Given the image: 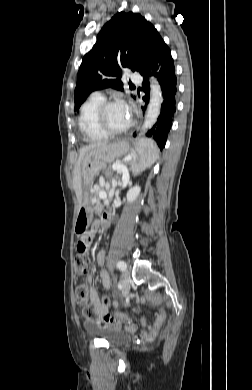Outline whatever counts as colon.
Here are the masks:
<instances>
[{
  "instance_id": "1",
  "label": "colon",
  "mask_w": 252,
  "mask_h": 390,
  "mask_svg": "<svg viewBox=\"0 0 252 390\" xmlns=\"http://www.w3.org/2000/svg\"><path fill=\"white\" fill-rule=\"evenodd\" d=\"M77 231L78 233L82 234L83 236H86L87 233H86V224L85 223H82L81 225H79L77 227ZM87 239L85 240H82L80 243H79V247L81 249L80 252H78L79 254L75 257V261H74V265H75V273L78 275V276H83L86 271H87V263H86V260L84 258V253L86 252V249H87ZM75 299H76V302L78 304H82L84 305V314L87 316V317H93L95 315V309L92 305H89L87 304V301H88V285L86 284V282L84 281H81L76 289H75ZM103 303L107 306H110V300L108 297L104 296L103 297ZM125 322V314L121 313V312H118V311H114L113 313H110V314H107L103 317L100 318V323L101 324H114V325H120L122 323ZM161 323L162 321L161 320H157L153 327H152V332L153 333H157V331L159 330L160 326H161Z\"/></svg>"
}]
</instances>
